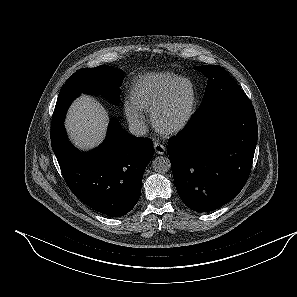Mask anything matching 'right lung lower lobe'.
<instances>
[{
  "label": "right lung lower lobe",
  "instance_id": "98d812e1",
  "mask_svg": "<svg viewBox=\"0 0 297 297\" xmlns=\"http://www.w3.org/2000/svg\"><path fill=\"white\" fill-rule=\"evenodd\" d=\"M50 137L64 179L83 203L111 217L123 216L136 205L154 153L149 138L128 134L115 120L104 142L89 153L70 144L63 123Z\"/></svg>",
  "mask_w": 297,
  "mask_h": 297
}]
</instances>
